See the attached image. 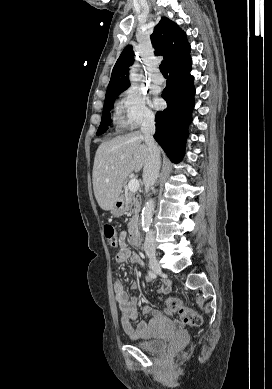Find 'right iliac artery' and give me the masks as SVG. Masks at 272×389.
Returning a JSON list of instances; mask_svg holds the SVG:
<instances>
[{"instance_id": "1", "label": "right iliac artery", "mask_w": 272, "mask_h": 389, "mask_svg": "<svg viewBox=\"0 0 272 389\" xmlns=\"http://www.w3.org/2000/svg\"><path fill=\"white\" fill-rule=\"evenodd\" d=\"M155 277H156L155 273L149 271V272H148V276H147L146 279H147L148 281H150V280L154 279Z\"/></svg>"}]
</instances>
